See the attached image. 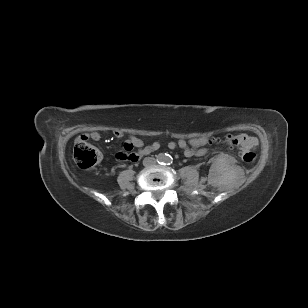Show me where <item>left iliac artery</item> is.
I'll return each mask as SVG.
<instances>
[{
    "label": "left iliac artery",
    "mask_w": 308,
    "mask_h": 308,
    "mask_svg": "<svg viewBox=\"0 0 308 308\" xmlns=\"http://www.w3.org/2000/svg\"><path fill=\"white\" fill-rule=\"evenodd\" d=\"M166 162H167L168 164L172 163V158H167Z\"/></svg>",
    "instance_id": "left-iliac-artery-1"
}]
</instances>
